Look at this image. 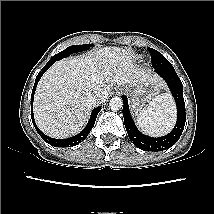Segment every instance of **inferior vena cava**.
Instances as JSON below:
<instances>
[{"mask_svg": "<svg viewBox=\"0 0 214 214\" xmlns=\"http://www.w3.org/2000/svg\"><path fill=\"white\" fill-rule=\"evenodd\" d=\"M107 97L108 93L106 91L98 89L87 94L88 101L95 105L103 103Z\"/></svg>", "mask_w": 214, "mask_h": 214, "instance_id": "obj_1", "label": "inferior vena cava"}]
</instances>
